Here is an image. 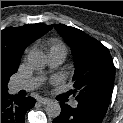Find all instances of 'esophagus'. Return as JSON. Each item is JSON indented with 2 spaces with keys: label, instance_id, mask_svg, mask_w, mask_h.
<instances>
[{
  "label": "esophagus",
  "instance_id": "esophagus-1",
  "mask_svg": "<svg viewBox=\"0 0 123 123\" xmlns=\"http://www.w3.org/2000/svg\"><path fill=\"white\" fill-rule=\"evenodd\" d=\"M38 102L41 103L42 105H46L50 102V100L47 98H40L38 99Z\"/></svg>",
  "mask_w": 123,
  "mask_h": 123
}]
</instances>
